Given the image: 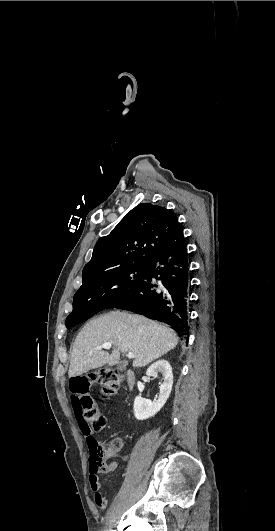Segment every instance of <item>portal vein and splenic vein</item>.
Returning <instances> with one entry per match:
<instances>
[{
    "mask_svg": "<svg viewBox=\"0 0 275 531\" xmlns=\"http://www.w3.org/2000/svg\"><path fill=\"white\" fill-rule=\"evenodd\" d=\"M111 347V343H103V345H100V347H96L95 351H101V349H111ZM127 357L128 359H135L134 353H128Z\"/></svg>",
    "mask_w": 275,
    "mask_h": 531,
    "instance_id": "18ae733b",
    "label": "portal vein and splenic vein"
}]
</instances>
